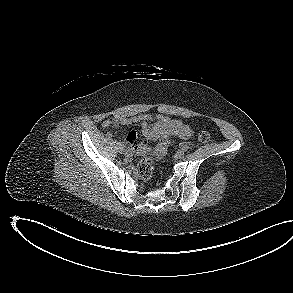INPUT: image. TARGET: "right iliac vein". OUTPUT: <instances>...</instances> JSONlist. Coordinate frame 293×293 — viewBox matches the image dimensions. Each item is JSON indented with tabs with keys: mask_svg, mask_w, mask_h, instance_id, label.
<instances>
[{
	"mask_svg": "<svg viewBox=\"0 0 293 293\" xmlns=\"http://www.w3.org/2000/svg\"><path fill=\"white\" fill-rule=\"evenodd\" d=\"M117 150L119 153H124L125 152V148L122 144H118L117 145Z\"/></svg>",
	"mask_w": 293,
	"mask_h": 293,
	"instance_id": "63e3f726",
	"label": "right iliac vein"
}]
</instances>
